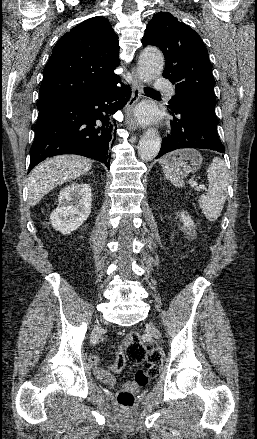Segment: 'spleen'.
<instances>
[{
    "instance_id": "spleen-1",
    "label": "spleen",
    "mask_w": 257,
    "mask_h": 439,
    "mask_svg": "<svg viewBox=\"0 0 257 439\" xmlns=\"http://www.w3.org/2000/svg\"><path fill=\"white\" fill-rule=\"evenodd\" d=\"M164 174L175 186L183 187L184 181L175 177L167 167L166 158L162 161ZM208 191L198 200L207 220L214 222L220 216L227 197L228 172L224 161L215 157L207 169Z\"/></svg>"
}]
</instances>
